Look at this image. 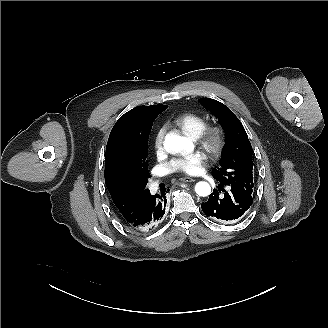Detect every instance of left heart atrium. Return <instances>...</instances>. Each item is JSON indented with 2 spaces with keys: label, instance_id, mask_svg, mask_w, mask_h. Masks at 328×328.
I'll list each match as a JSON object with an SVG mask.
<instances>
[{
  "label": "left heart atrium",
  "instance_id": "1",
  "mask_svg": "<svg viewBox=\"0 0 328 328\" xmlns=\"http://www.w3.org/2000/svg\"><path fill=\"white\" fill-rule=\"evenodd\" d=\"M170 168L187 175H200L205 170V160L201 154L191 153L172 162Z\"/></svg>",
  "mask_w": 328,
  "mask_h": 328
}]
</instances>
